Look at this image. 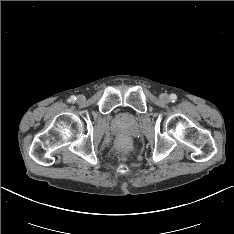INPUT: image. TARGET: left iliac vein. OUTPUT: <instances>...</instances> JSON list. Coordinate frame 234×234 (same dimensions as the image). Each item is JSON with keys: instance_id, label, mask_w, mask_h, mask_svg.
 I'll return each mask as SVG.
<instances>
[{"instance_id": "left-iliac-vein-1", "label": "left iliac vein", "mask_w": 234, "mask_h": 234, "mask_svg": "<svg viewBox=\"0 0 234 234\" xmlns=\"http://www.w3.org/2000/svg\"><path fill=\"white\" fill-rule=\"evenodd\" d=\"M159 98L163 103H168L170 100L169 96L165 93L161 94Z\"/></svg>"}]
</instances>
